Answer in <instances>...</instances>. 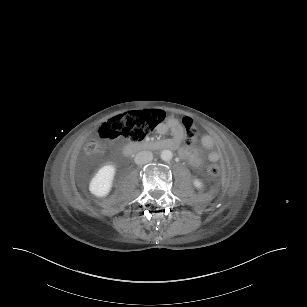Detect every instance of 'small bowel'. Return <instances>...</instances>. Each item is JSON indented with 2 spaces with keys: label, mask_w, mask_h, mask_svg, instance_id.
<instances>
[{
  "label": "small bowel",
  "mask_w": 307,
  "mask_h": 307,
  "mask_svg": "<svg viewBox=\"0 0 307 307\" xmlns=\"http://www.w3.org/2000/svg\"><path fill=\"white\" fill-rule=\"evenodd\" d=\"M170 130L173 142V148H179L181 142L184 139V131L182 126L177 121H172L167 125L160 127L161 132ZM201 146L209 151L208 158L211 162H217L220 159V153L215 150V140L210 135H204L201 138ZM179 155L181 158L189 161L193 166L199 167L202 164V157L199 148L197 147H181L179 148Z\"/></svg>",
  "instance_id": "1"
}]
</instances>
